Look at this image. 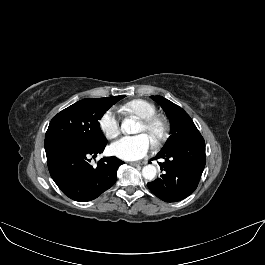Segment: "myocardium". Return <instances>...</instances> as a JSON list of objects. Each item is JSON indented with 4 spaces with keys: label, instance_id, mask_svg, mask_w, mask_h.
I'll list each match as a JSON object with an SVG mask.
<instances>
[{
    "label": "myocardium",
    "instance_id": "myocardium-1",
    "mask_svg": "<svg viewBox=\"0 0 265 265\" xmlns=\"http://www.w3.org/2000/svg\"><path fill=\"white\" fill-rule=\"evenodd\" d=\"M142 125L151 130H155V135L152 140L154 146H160L167 138L169 126L165 119L158 115L141 119Z\"/></svg>",
    "mask_w": 265,
    "mask_h": 265
}]
</instances>
